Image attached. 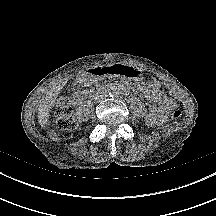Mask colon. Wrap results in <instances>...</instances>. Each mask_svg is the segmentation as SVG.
Here are the masks:
<instances>
[{
    "mask_svg": "<svg viewBox=\"0 0 216 216\" xmlns=\"http://www.w3.org/2000/svg\"><path fill=\"white\" fill-rule=\"evenodd\" d=\"M56 124L60 130H73L77 126V121L73 115L72 104L66 98H60L56 104ZM182 112L179 109L174 110L171 113V118L177 120L181 118Z\"/></svg>",
    "mask_w": 216,
    "mask_h": 216,
    "instance_id": "obj_1",
    "label": "colon"
}]
</instances>
